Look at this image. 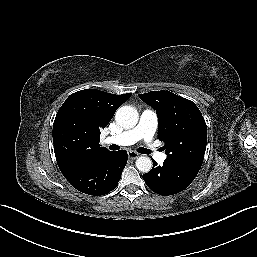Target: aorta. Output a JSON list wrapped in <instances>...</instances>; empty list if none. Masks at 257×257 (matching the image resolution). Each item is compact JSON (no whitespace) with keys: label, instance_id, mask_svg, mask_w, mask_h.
I'll return each instance as SVG.
<instances>
[{"label":"aorta","instance_id":"obj_1","mask_svg":"<svg viewBox=\"0 0 257 257\" xmlns=\"http://www.w3.org/2000/svg\"><path fill=\"white\" fill-rule=\"evenodd\" d=\"M115 120L123 128L131 129L138 123V112L131 106H122L116 111ZM136 167L139 171L147 173L152 168V160L149 157L141 156L136 160Z\"/></svg>","mask_w":257,"mask_h":257}]
</instances>
